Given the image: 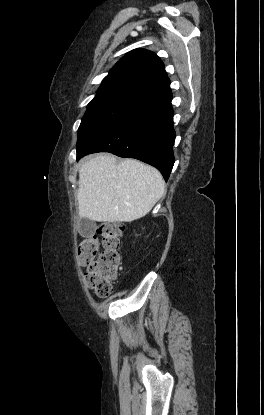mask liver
Here are the masks:
<instances>
[{"instance_id": "6515ba94", "label": "liver", "mask_w": 264, "mask_h": 415, "mask_svg": "<svg viewBox=\"0 0 264 415\" xmlns=\"http://www.w3.org/2000/svg\"><path fill=\"white\" fill-rule=\"evenodd\" d=\"M78 185L79 217L97 222L140 219L165 192V182L156 168L135 159L117 162L110 154L83 161Z\"/></svg>"}]
</instances>
